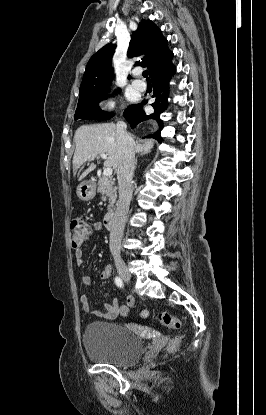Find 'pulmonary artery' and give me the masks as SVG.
I'll return each mask as SVG.
<instances>
[{
	"instance_id": "obj_1",
	"label": "pulmonary artery",
	"mask_w": 266,
	"mask_h": 415,
	"mask_svg": "<svg viewBox=\"0 0 266 415\" xmlns=\"http://www.w3.org/2000/svg\"><path fill=\"white\" fill-rule=\"evenodd\" d=\"M135 74H136V75H139V74H140V72H139V71H136V72H135ZM132 85L134 86V88H136L137 90H140V91H144V90L146 89V84H145V82H144V81H142V80H140V79H135V80L132 82Z\"/></svg>"
}]
</instances>
